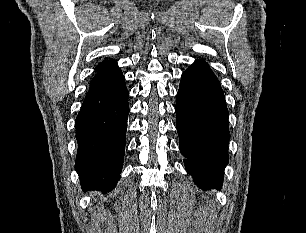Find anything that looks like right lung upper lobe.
<instances>
[{
  "instance_id": "right-lung-upper-lobe-1",
  "label": "right lung upper lobe",
  "mask_w": 306,
  "mask_h": 233,
  "mask_svg": "<svg viewBox=\"0 0 306 233\" xmlns=\"http://www.w3.org/2000/svg\"><path fill=\"white\" fill-rule=\"evenodd\" d=\"M119 70L120 69L118 68V65L115 60H109L107 62H102L98 64V66L96 67L97 74L91 80L90 85H94L106 80Z\"/></svg>"
}]
</instances>
